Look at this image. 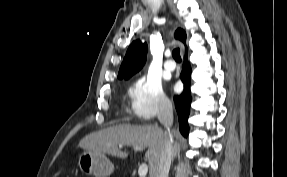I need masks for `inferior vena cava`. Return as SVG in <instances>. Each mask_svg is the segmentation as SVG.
Wrapping results in <instances>:
<instances>
[{
    "label": "inferior vena cava",
    "instance_id": "inferior-vena-cava-1",
    "mask_svg": "<svg viewBox=\"0 0 287 177\" xmlns=\"http://www.w3.org/2000/svg\"><path fill=\"white\" fill-rule=\"evenodd\" d=\"M158 119L165 127V142L154 177H168L173 157V135L171 132V126L173 124V107L170 101H167L162 106L158 114Z\"/></svg>",
    "mask_w": 287,
    "mask_h": 177
}]
</instances>
